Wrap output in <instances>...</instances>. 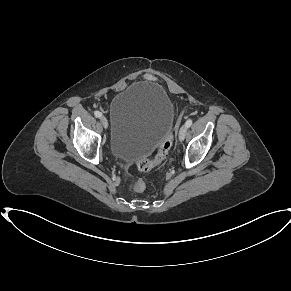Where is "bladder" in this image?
I'll list each match as a JSON object with an SVG mask.
<instances>
[{
    "mask_svg": "<svg viewBox=\"0 0 291 291\" xmlns=\"http://www.w3.org/2000/svg\"><path fill=\"white\" fill-rule=\"evenodd\" d=\"M173 119L174 106L160 85L132 83L110 106V155L127 162L147 157L170 133Z\"/></svg>",
    "mask_w": 291,
    "mask_h": 291,
    "instance_id": "obj_1",
    "label": "bladder"
}]
</instances>
